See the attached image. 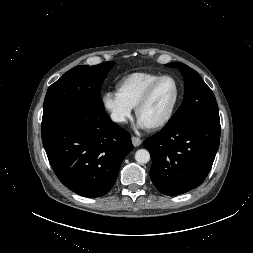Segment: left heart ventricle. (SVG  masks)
Returning a JSON list of instances; mask_svg holds the SVG:
<instances>
[{
    "label": "left heart ventricle",
    "instance_id": "b2bd125f",
    "mask_svg": "<svg viewBox=\"0 0 253 253\" xmlns=\"http://www.w3.org/2000/svg\"><path fill=\"white\" fill-rule=\"evenodd\" d=\"M176 91L175 82L169 78L164 79L141 110L139 122L147 127L161 121L168 114L174 102Z\"/></svg>",
    "mask_w": 253,
    "mask_h": 253
}]
</instances>
